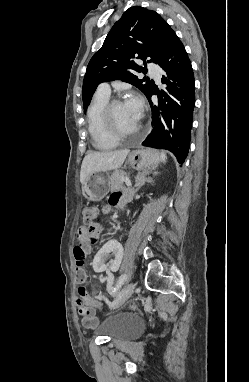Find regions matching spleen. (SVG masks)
Returning <instances> with one entry per match:
<instances>
[{
	"mask_svg": "<svg viewBox=\"0 0 249 382\" xmlns=\"http://www.w3.org/2000/svg\"><path fill=\"white\" fill-rule=\"evenodd\" d=\"M166 160H167L166 152H165V151H162V152H161V161H162L163 163H165Z\"/></svg>",
	"mask_w": 249,
	"mask_h": 382,
	"instance_id": "spleen-1",
	"label": "spleen"
}]
</instances>
